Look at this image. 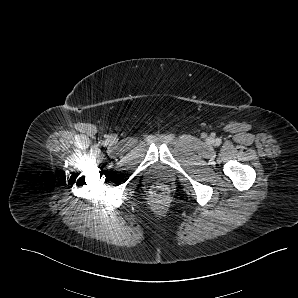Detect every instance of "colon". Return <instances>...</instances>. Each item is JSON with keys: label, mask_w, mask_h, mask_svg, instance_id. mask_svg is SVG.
<instances>
[{"label": "colon", "mask_w": 298, "mask_h": 298, "mask_svg": "<svg viewBox=\"0 0 298 298\" xmlns=\"http://www.w3.org/2000/svg\"><path fill=\"white\" fill-rule=\"evenodd\" d=\"M168 193V189L166 187V185H164L163 183L157 184L154 188H153V194L156 197H165Z\"/></svg>", "instance_id": "5ec220e1"}]
</instances>
